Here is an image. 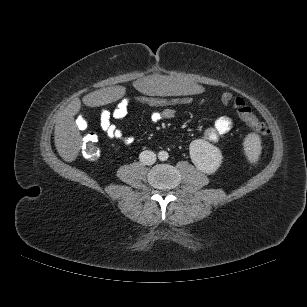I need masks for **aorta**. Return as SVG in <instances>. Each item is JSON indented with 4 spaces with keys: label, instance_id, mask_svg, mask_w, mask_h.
Here are the masks:
<instances>
[{
    "label": "aorta",
    "instance_id": "obj_1",
    "mask_svg": "<svg viewBox=\"0 0 307 307\" xmlns=\"http://www.w3.org/2000/svg\"><path fill=\"white\" fill-rule=\"evenodd\" d=\"M168 157H169V154H168L167 151H164V150L159 151V153H158V159H159L160 161H166V160L168 159Z\"/></svg>",
    "mask_w": 307,
    "mask_h": 307
}]
</instances>
